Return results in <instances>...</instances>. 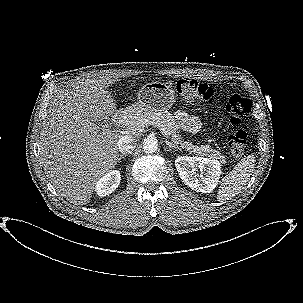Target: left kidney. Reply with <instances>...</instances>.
Returning a JSON list of instances; mask_svg holds the SVG:
<instances>
[{
	"instance_id": "left-kidney-1",
	"label": "left kidney",
	"mask_w": 303,
	"mask_h": 303,
	"mask_svg": "<svg viewBox=\"0 0 303 303\" xmlns=\"http://www.w3.org/2000/svg\"><path fill=\"white\" fill-rule=\"evenodd\" d=\"M175 166L183 182L202 193L212 192L221 174L219 161L209 158L180 156L175 160Z\"/></svg>"
}]
</instances>
